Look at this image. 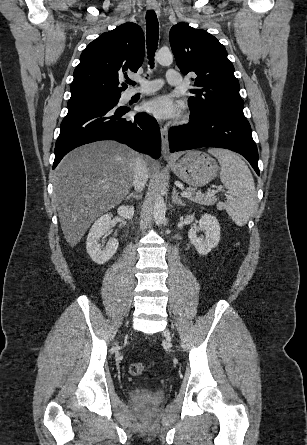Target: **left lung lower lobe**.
I'll use <instances>...</instances> for the list:
<instances>
[{"label":"left lung lower lobe","instance_id":"1","mask_svg":"<svg viewBox=\"0 0 307 445\" xmlns=\"http://www.w3.org/2000/svg\"><path fill=\"white\" fill-rule=\"evenodd\" d=\"M170 151L200 147H220L243 155L258 175V151L252 139L251 127L244 116L215 113L191 119L187 125L169 131Z\"/></svg>","mask_w":307,"mask_h":445}]
</instances>
